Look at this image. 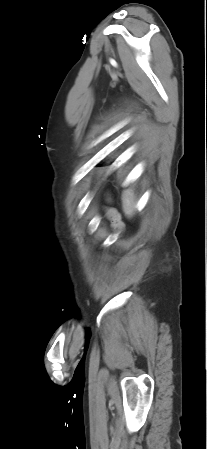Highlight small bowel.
<instances>
[{
	"mask_svg": "<svg viewBox=\"0 0 207 449\" xmlns=\"http://www.w3.org/2000/svg\"><path fill=\"white\" fill-rule=\"evenodd\" d=\"M109 216L110 219L112 221V224L114 226V228L116 229H121L122 228V222L118 216V214L114 211H109Z\"/></svg>",
	"mask_w": 207,
	"mask_h": 449,
	"instance_id": "obj_1",
	"label": "small bowel"
}]
</instances>
